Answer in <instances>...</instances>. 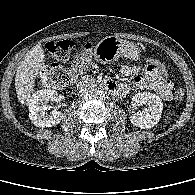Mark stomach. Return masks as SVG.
<instances>
[{
	"instance_id": "0dacf381",
	"label": "stomach",
	"mask_w": 195,
	"mask_h": 195,
	"mask_svg": "<svg viewBox=\"0 0 195 195\" xmlns=\"http://www.w3.org/2000/svg\"><path fill=\"white\" fill-rule=\"evenodd\" d=\"M121 56L137 61L140 57L139 48L115 36L105 37L94 48V57L102 64L116 62Z\"/></svg>"
}]
</instances>
